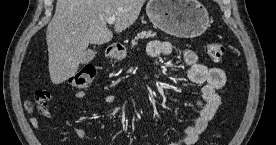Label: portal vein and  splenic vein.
I'll use <instances>...</instances> for the list:
<instances>
[{
    "label": "portal vein and splenic vein",
    "instance_id": "portal-vein-and-splenic-vein-1",
    "mask_svg": "<svg viewBox=\"0 0 276 145\" xmlns=\"http://www.w3.org/2000/svg\"><path fill=\"white\" fill-rule=\"evenodd\" d=\"M115 20H116V17L115 16H111V17H109L107 19V22H108V24H113L115 22Z\"/></svg>",
    "mask_w": 276,
    "mask_h": 145
}]
</instances>
